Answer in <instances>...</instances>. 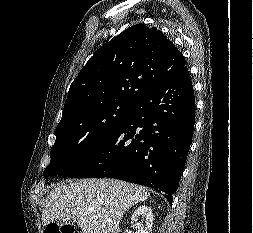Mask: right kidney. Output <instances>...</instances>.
Segmentation results:
<instances>
[{"label": "right kidney", "mask_w": 253, "mask_h": 233, "mask_svg": "<svg viewBox=\"0 0 253 233\" xmlns=\"http://www.w3.org/2000/svg\"><path fill=\"white\" fill-rule=\"evenodd\" d=\"M138 218L142 219V222L136 223V233H150L153 224V213L149 206H139L131 217V224L136 222Z\"/></svg>", "instance_id": "1"}]
</instances>
